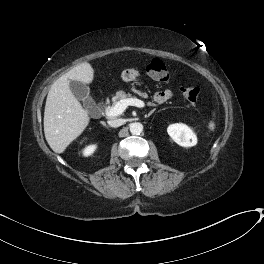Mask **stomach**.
Wrapping results in <instances>:
<instances>
[{
  "mask_svg": "<svg viewBox=\"0 0 264 264\" xmlns=\"http://www.w3.org/2000/svg\"><path fill=\"white\" fill-rule=\"evenodd\" d=\"M140 75L139 71L134 68H127L122 71L121 78L125 82L135 80Z\"/></svg>",
  "mask_w": 264,
  "mask_h": 264,
  "instance_id": "stomach-1",
  "label": "stomach"
}]
</instances>
